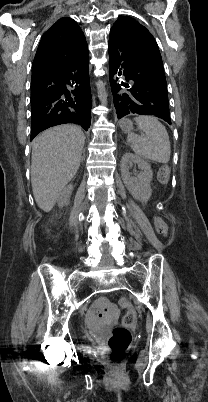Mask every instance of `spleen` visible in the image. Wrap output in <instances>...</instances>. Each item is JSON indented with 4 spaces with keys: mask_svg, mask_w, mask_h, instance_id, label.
Wrapping results in <instances>:
<instances>
[{
    "mask_svg": "<svg viewBox=\"0 0 208 402\" xmlns=\"http://www.w3.org/2000/svg\"><path fill=\"white\" fill-rule=\"evenodd\" d=\"M135 122L138 130L145 132V136L128 134L127 142L133 152L145 160L167 164L170 160L171 148L165 126L153 116H138Z\"/></svg>",
    "mask_w": 208,
    "mask_h": 402,
    "instance_id": "1",
    "label": "spleen"
}]
</instances>
